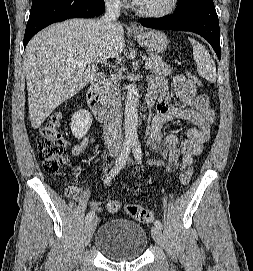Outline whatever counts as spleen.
<instances>
[{
  "label": "spleen",
  "instance_id": "3e777b00",
  "mask_svg": "<svg viewBox=\"0 0 253 271\" xmlns=\"http://www.w3.org/2000/svg\"><path fill=\"white\" fill-rule=\"evenodd\" d=\"M189 41L193 46V57L199 75L207 81L215 82L217 78L216 66L209 52L195 39L189 38Z\"/></svg>",
  "mask_w": 253,
  "mask_h": 271
}]
</instances>
